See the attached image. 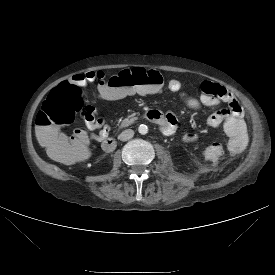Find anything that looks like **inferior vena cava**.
<instances>
[{"mask_svg": "<svg viewBox=\"0 0 275 275\" xmlns=\"http://www.w3.org/2000/svg\"><path fill=\"white\" fill-rule=\"evenodd\" d=\"M134 136V131L132 129L124 130L119 136L118 139L121 141H127Z\"/></svg>", "mask_w": 275, "mask_h": 275, "instance_id": "602c4592", "label": "inferior vena cava"}]
</instances>
